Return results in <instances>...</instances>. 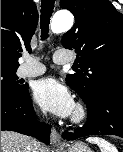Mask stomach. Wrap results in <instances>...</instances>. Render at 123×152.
Masks as SVG:
<instances>
[{
	"instance_id": "0dacf381",
	"label": "stomach",
	"mask_w": 123,
	"mask_h": 152,
	"mask_svg": "<svg viewBox=\"0 0 123 152\" xmlns=\"http://www.w3.org/2000/svg\"><path fill=\"white\" fill-rule=\"evenodd\" d=\"M64 152H93L85 143L75 142L69 146Z\"/></svg>"
}]
</instances>
